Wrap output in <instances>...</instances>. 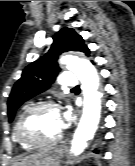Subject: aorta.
<instances>
[{
  "label": "aorta",
  "mask_w": 135,
  "mask_h": 166,
  "mask_svg": "<svg viewBox=\"0 0 135 166\" xmlns=\"http://www.w3.org/2000/svg\"><path fill=\"white\" fill-rule=\"evenodd\" d=\"M60 61L78 77L84 95L83 115L71 143V150L78 156L86 148L87 142L93 138L100 120L99 78L95 67L87 59L67 55Z\"/></svg>",
  "instance_id": "1"
}]
</instances>
